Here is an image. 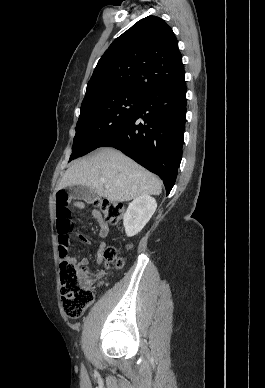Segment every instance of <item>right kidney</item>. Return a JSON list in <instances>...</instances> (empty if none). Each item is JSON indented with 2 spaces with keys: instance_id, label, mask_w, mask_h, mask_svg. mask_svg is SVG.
Wrapping results in <instances>:
<instances>
[{
  "instance_id": "ca27d5eb",
  "label": "right kidney",
  "mask_w": 265,
  "mask_h": 388,
  "mask_svg": "<svg viewBox=\"0 0 265 388\" xmlns=\"http://www.w3.org/2000/svg\"><path fill=\"white\" fill-rule=\"evenodd\" d=\"M156 208L155 198H151L148 194H142L139 198H135L129 204L123 218L126 236L132 238V236H136L138 232H141L151 216H153Z\"/></svg>"
}]
</instances>
